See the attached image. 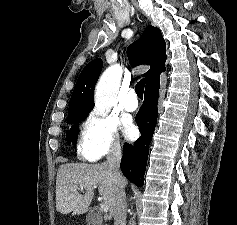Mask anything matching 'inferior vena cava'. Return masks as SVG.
<instances>
[{"instance_id": "602c4592", "label": "inferior vena cava", "mask_w": 237, "mask_h": 225, "mask_svg": "<svg viewBox=\"0 0 237 225\" xmlns=\"http://www.w3.org/2000/svg\"><path fill=\"white\" fill-rule=\"evenodd\" d=\"M121 158L122 153L120 144L113 143L107 154L106 164L116 184V203L113 212L114 225H126L127 202L124 191L125 179L120 171Z\"/></svg>"}]
</instances>
